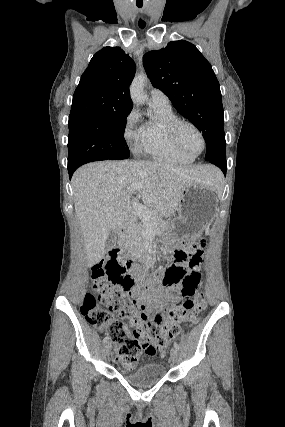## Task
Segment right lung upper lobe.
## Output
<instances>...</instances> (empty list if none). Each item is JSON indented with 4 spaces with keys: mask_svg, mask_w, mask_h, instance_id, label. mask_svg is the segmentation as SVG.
Returning a JSON list of instances; mask_svg holds the SVG:
<instances>
[{
    "mask_svg": "<svg viewBox=\"0 0 285 427\" xmlns=\"http://www.w3.org/2000/svg\"><path fill=\"white\" fill-rule=\"evenodd\" d=\"M135 63L120 47H104L91 59L73 95L69 121L132 110L129 85Z\"/></svg>",
    "mask_w": 285,
    "mask_h": 427,
    "instance_id": "cb5924a9",
    "label": "right lung upper lobe"
}]
</instances>
